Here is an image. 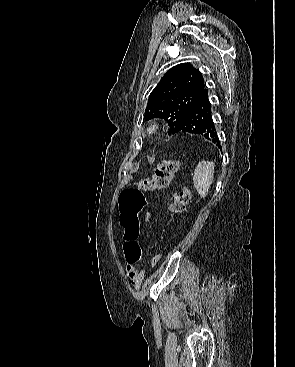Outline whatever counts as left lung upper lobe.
Here are the masks:
<instances>
[{
    "label": "left lung upper lobe",
    "mask_w": 295,
    "mask_h": 367,
    "mask_svg": "<svg viewBox=\"0 0 295 367\" xmlns=\"http://www.w3.org/2000/svg\"><path fill=\"white\" fill-rule=\"evenodd\" d=\"M204 90L202 74L190 63L178 64L165 73L151 92L145 118L167 120L170 135Z\"/></svg>",
    "instance_id": "1"
}]
</instances>
